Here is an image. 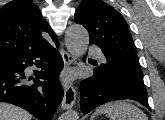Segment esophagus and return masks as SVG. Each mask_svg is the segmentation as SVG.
Masks as SVG:
<instances>
[{"label": "esophagus", "instance_id": "obj_1", "mask_svg": "<svg viewBox=\"0 0 165 120\" xmlns=\"http://www.w3.org/2000/svg\"><path fill=\"white\" fill-rule=\"evenodd\" d=\"M62 59L65 66H70L75 63V59L67 51L61 50ZM76 101V88L71 84L67 83L64 89V96L61 103L63 110L70 109L74 106Z\"/></svg>", "mask_w": 165, "mask_h": 120}]
</instances>
